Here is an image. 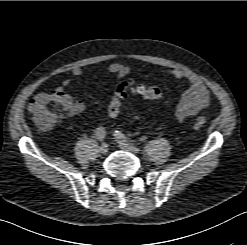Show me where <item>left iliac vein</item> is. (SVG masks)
I'll use <instances>...</instances> for the list:
<instances>
[{
	"label": "left iliac vein",
	"mask_w": 247,
	"mask_h": 245,
	"mask_svg": "<svg viewBox=\"0 0 247 245\" xmlns=\"http://www.w3.org/2000/svg\"><path fill=\"white\" fill-rule=\"evenodd\" d=\"M118 145L121 149L126 150V151L131 152V153H138V151H139L138 147H136L132 144H129L127 142H124V141H119Z\"/></svg>",
	"instance_id": "1"
}]
</instances>
